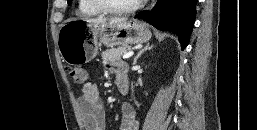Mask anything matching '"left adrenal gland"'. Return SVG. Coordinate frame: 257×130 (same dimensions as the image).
<instances>
[{
  "label": "left adrenal gland",
  "mask_w": 257,
  "mask_h": 130,
  "mask_svg": "<svg viewBox=\"0 0 257 130\" xmlns=\"http://www.w3.org/2000/svg\"><path fill=\"white\" fill-rule=\"evenodd\" d=\"M152 47H153V46H150L149 43H148L144 48H142V49L138 52V54L135 56L133 64H136L138 58H139L144 52H146L147 50L152 49Z\"/></svg>",
  "instance_id": "a2214340"
}]
</instances>
